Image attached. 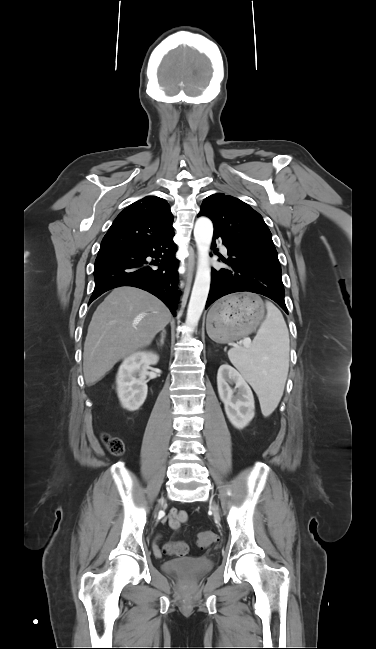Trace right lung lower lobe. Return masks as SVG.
I'll use <instances>...</instances> for the list:
<instances>
[{"label": "right lung lower lobe", "instance_id": "1", "mask_svg": "<svg viewBox=\"0 0 376 649\" xmlns=\"http://www.w3.org/2000/svg\"><path fill=\"white\" fill-rule=\"evenodd\" d=\"M173 236L174 232L129 248L98 253L94 269L95 288L89 304L112 288L133 286L158 297L175 316L179 291ZM149 256L154 260L147 261ZM149 265H158L159 269L153 270Z\"/></svg>", "mask_w": 376, "mask_h": 649}]
</instances>
